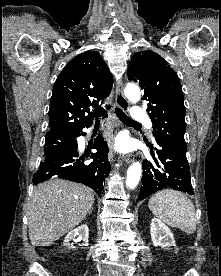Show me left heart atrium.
Segmentation results:
<instances>
[{"label":"left heart atrium","mask_w":221,"mask_h":276,"mask_svg":"<svg viewBox=\"0 0 221 276\" xmlns=\"http://www.w3.org/2000/svg\"><path fill=\"white\" fill-rule=\"evenodd\" d=\"M117 147L121 151H126L128 149V144L125 140H118Z\"/></svg>","instance_id":"obj_1"}]
</instances>
